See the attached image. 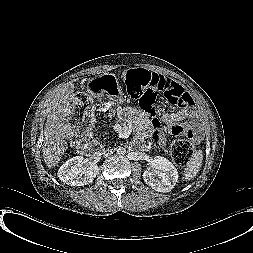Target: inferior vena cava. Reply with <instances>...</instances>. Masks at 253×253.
<instances>
[{"instance_id":"602c4592","label":"inferior vena cava","mask_w":253,"mask_h":253,"mask_svg":"<svg viewBox=\"0 0 253 253\" xmlns=\"http://www.w3.org/2000/svg\"><path fill=\"white\" fill-rule=\"evenodd\" d=\"M112 153H113V151H107V152L105 153V156H106L107 158H110V157L112 156Z\"/></svg>"}]
</instances>
